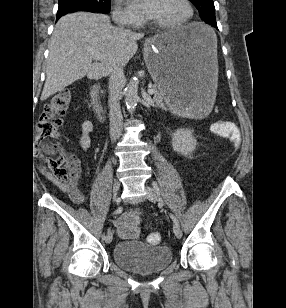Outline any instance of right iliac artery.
<instances>
[{"label": "right iliac artery", "instance_id": "obj_1", "mask_svg": "<svg viewBox=\"0 0 286 308\" xmlns=\"http://www.w3.org/2000/svg\"><path fill=\"white\" fill-rule=\"evenodd\" d=\"M123 210H124V209H123V206H122V205H119V206L117 207L116 211H115L113 214L121 213V212H123ZM102 238H103V239L106 238L105 233L102 235Z\"/></svg>", "mask_w": 286, "mask_h": 308}]
</instances>
